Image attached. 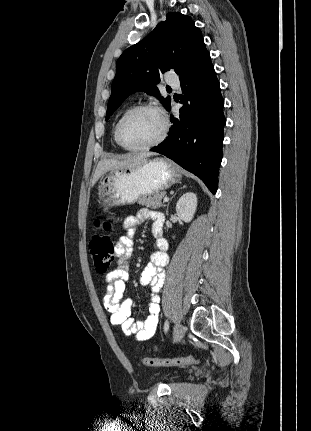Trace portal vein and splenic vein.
<instances>
[{"mask_svg":"<svg viewBox=\"0 0 311 431\" xmlns=\"http://www.w3.org/2000/svg\"><path fill=\"white\" fill-rule=\"evenodd\" d=\"M163 202H169V198H163Z\"/></svg>","mask_w":311,"mask_h":431,"instance_id":"18ae733b","label":"portal vein and splenic vein"}]
</instances>
